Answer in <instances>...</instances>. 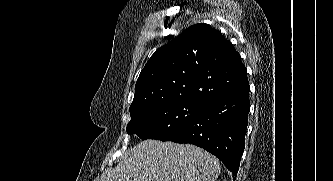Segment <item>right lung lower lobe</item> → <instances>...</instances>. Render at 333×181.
I'll use <instances>...</instances> for the list:
<instances>
[{"label": "right lung lower lobe", "mask_w": 333, "mask_h": 181, "mask_svg": "<svg viewBox=\"0 0 333 181\" xmlns=\"http://www.w3.org/2000/svg\"><path fill=\"white\" fill-rule=\"evenodd\" d=\"M249 91L247 85L206 101L194 120L168 141L202 147L218 157L236 177L245 148Z\"/></svg>", "instance_id": "1"}]
</instances>
